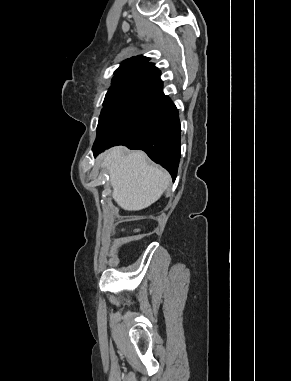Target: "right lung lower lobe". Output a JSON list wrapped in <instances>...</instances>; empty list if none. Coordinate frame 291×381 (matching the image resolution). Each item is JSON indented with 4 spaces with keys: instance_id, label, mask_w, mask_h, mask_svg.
<instances>
[{
    "instance_id": "obj_1",
    "label": "right lung lower lobe",
    "mask_w": 291,
    "mask_h": 381,
    "mask_svg": "<svg viewBox=\"0 0 291 381\" xmlns=\"http://www.w3.org/2000/svg\"><path fill=\"white\" fill-rule=\"evenodd\" d=\"M119 129L116 141L94 143L95 156L115 145L143 150L175 180L181 129L177 108L162 91L160 71L142 77Z\"/></svg>"
}]
</instances>
